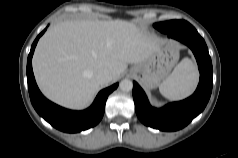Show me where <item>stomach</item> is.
Masks as SVG:
<instances>
[{
  "instance_id": "obj_1",
  "label": "stomach",
  "mask_w": 238,
  "mask_h": 158,
  "mask_svg": "<svg viewBox=\"0 0 238 158\" xmlns=\"http://www.w3.org/2000/svg\"><path fill=\"white\" fill-rule=\"evenodd\" d=\"M179 59V48L171 41H164L147 59L134 65L130 72L139 74L140 82L148 89L156 88L170 74Z\"/></svg>"
}]
</instances>
